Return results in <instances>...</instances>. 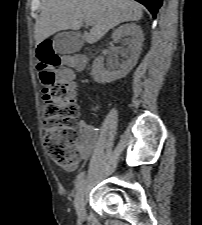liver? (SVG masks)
Returning <instances> with one entry per match:
<instances>
[{
	"label": "liver",
	"instance_id": "liver-1",
	"mask_svg": "<svg viewBox=\"0 0 202 225\" xmlns=\"http://www.w3.org/2000/svg\"><path fill=\"white\" fill-rule=\"evenodd\" d=\"M142 17V6L134 0H43L35 41L38 45L58 31L78 30L89 20L92 27L83 39L93 44L118 24Z\"/></svg>",
	"mask_w": 202,
	"mask_h": 225
}]
</instances>
